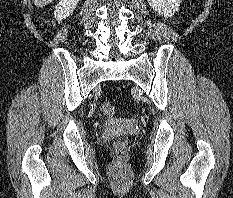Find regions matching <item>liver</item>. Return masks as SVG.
<instances>
[{
  "label": "liver",
  "mask_w": 233,
  "mask_h": 198,
  "mask_svg": "<svg viewBox=\"0 0 233 198\" xmlns=\"http://www.w3.org/2000/svg\"><path fill=\"white\" fill-rule=\"evenodd\" d=\"M35 6L37 7H44L50 3H52L54 0H33Z\"/></svg>",
  "instance_id": "1"
}]
</instances>
